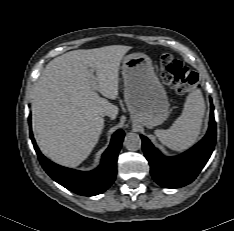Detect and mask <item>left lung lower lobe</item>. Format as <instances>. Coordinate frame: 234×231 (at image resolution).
<instances>
[{
	"label": "left lung lower lobe",
	"mask_w": 234,
	"mask_h": 231,
	"mask_svg": "<svg viewBox=\"0 0 234 231\" xmlns=\"http://www.w3.org/2000/svg\"><path fill=\"white\" fill-rule=\"evenodd\" d=\"M211 103L210 126L205 137L188 151L175 157L163 156L143 135L142 149L156 183L164 188H178L191 183L210 158L216 141L214 107Z\"/></svg>",
	"instance_id": "obj_1"
}]
</instances>
